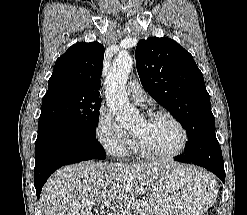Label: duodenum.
<instances>
[{
	"instance_id": "410a0bca",
	"label": "duodenum",
	"mask_w": 247,
	"mask_h": 215,
	"mask_svg": "<svg viewBox=\"0 0 247 215\" xmlns=\"http://www.w3.org/2000/svg\"><path fill=\"white\" fill-rule=\"evenodd\" d=\"M105 215H113V214L108 213V214H105Z\"/></svg>"
}]
</instances>
